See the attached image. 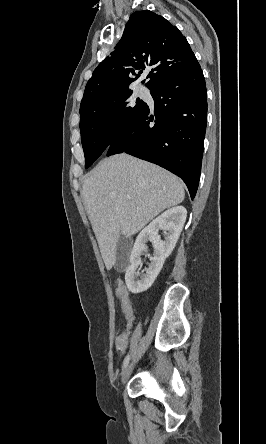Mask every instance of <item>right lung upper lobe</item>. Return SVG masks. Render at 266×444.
I'll list each match as a JSON object with an SVG mask.
<instances>
[{
    "label": "right lung upper lobe",
    "instance_id": "1",
    "mask_svg": "<svg viewBox=\"0 0 266 444\" xmlns=\"http://www.w3.org/2000/svg\"><path fill=\"white\" fill-rule=\"evenodd\" d=\"M197 63L176 26L152 11H136L130 16L115 51L94 70L80 107L109 93L129 89L146 66L152 67L146 83L151 90L189 72Z\"/></svg>",
    "mask_w": 266,
    "mask_h": 444
}]
</instances>
